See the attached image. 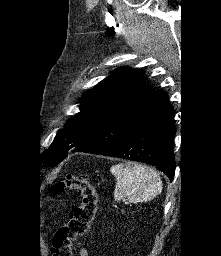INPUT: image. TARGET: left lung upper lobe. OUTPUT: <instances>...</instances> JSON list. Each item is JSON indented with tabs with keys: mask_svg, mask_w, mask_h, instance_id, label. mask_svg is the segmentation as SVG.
<instances>
[{
	"mask_svg": "<svg viewBox=\"0 0 221 256\" xmlns=\"http://www.w3.org/2000/svg\"><path fill=\"white\" fill-rule=\"evenodd\" d=\"M142 72L120 68L82 96L81 111L69 119L43 153V164L53 166L68 152L113 120L138 107L154 90L139 82Z\"/></svg>",
	"mask_w": 221,
	"mask_h": 256,
	"instance_id": "obj_1",
	"label": "left lung upper lobe"
}]
</instances>
